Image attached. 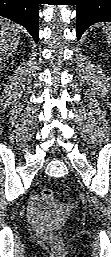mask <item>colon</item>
Listing matches in <instances>:
<instances>
[{
	"mask_svg": "<svg viewBox=\"0 0 111 257\" xmlns=\"http://www.w3.org/2000/svg\"><path fill=\"white\" fill-rule=\"evenodd\" d=\"M53 190L49 187H43L40 190V193L37 197V202L39 204H49L52 207H54L56 210H62L63 207L61 206V204L55 203L53 201Z\"/></svg>",
	"mask_w": 111,
	"mask_h": 257,
	"instance_id": "obj_1",
	"label": "colon"
}]
</instances>
